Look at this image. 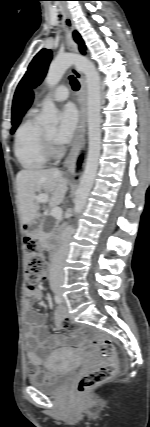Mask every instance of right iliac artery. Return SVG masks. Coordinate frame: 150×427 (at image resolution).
<instances>
[{
  "mask_svg": "<svg viewBox=\"0 0 150 427\" xmlns=\"http://www.w3.org/2000/svg\"><path fill=\"white\" fill-rule=\"evenodd\" d=\"M54 300H55V302H56L57 304H61V302H62V300H61V298H60V296H59V295H55V296H54Z\"/></svg>",
  "mask_w": 150,
  "mask_h": 427,
  "instance_id": "82829eb1",
  "label": "right iliac artery"
}]
</instances>
